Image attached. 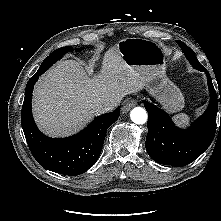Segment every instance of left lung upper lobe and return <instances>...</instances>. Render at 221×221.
Here are the masks:
<instances>
[{
    "instance_id": "1",
    "label": "left lung upper lobe",
    "mask_w": 221,
    "mask_h": 221,
    "mask_svg": "<svg viewBox=\"0 0 221 221\" xmlns=\"http://www.w3.org/2000/svg\"><path fill=\"white\" fill-rule=\"evenodd\" d=\"M177 43L179 44V46L181 47L182 51L184 52V54L186 55V57L188 58L189 62L191 63V65L193 67L201 66V64L197 60L194 52L192 51V49H190L186 44H184L180 40H178Z\"/></svg>"
}]
</instances>
